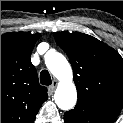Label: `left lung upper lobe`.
<instances>
[{
	"mask_svg": "<svg viewBox=\"0 0 123 123\" xmlns=\"http://www.w3.org/2000/svg\"><path fill=\"white\" fill-rule=\"evenodd\" d=\"M74 71L77 104L117 117L123 107V59L107 44L84 33L55 32Z\"/></svg>",
	"mask_w": 123,
	"mask_h": 123,
	"instance_id": "obj_1",
	"label": "left lung upper lobe"
}]
</instances>
